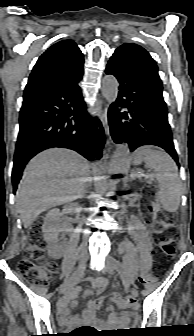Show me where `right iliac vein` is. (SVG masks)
Returning a JSON list of instances; mask_svg holds the SVG:
<instances>
[{
    "label": "right iliac vein",
    "instance_id": "obj_1",
    "mask_svg": "<svg viewBox=\"0 0 194 336\" xmlns=\"http://www.w3.org/2000/svg\"><path fill=\"white\" fill-rule=\"evenodd\" d=\"M88 257L86 255H82L79 258L78 266L72 271L71 275L63 282L60 286L59 293H66L69 288L76 282V280L83 274L85 263L87 262Z\"/></svg>",
    "mask_w": 194,
    "mask_h": 336
}]
</instances>
